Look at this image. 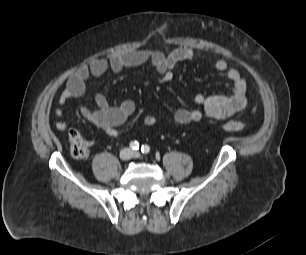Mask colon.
<instances>
[{
    "mask_svg": "<svg viewBox=\"0 0 306 255\" xmlns=\"http://www.w3.org/2000/svg\"><path fill=\"white\" fill-rule=\"evenodd\" d=\"M220 128L225 131L240 132L245 129V124L236 118H232L222 123ZM68 139L73 157L82 159L89 155V141L78 130H69Z\"/></svg>",
    "mask_w": 306,
    "mask_h": 255,
    "instance_id": "obj_1",
    "label": "colon"
}]
</instances>
